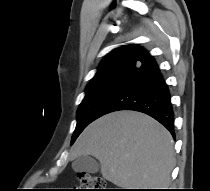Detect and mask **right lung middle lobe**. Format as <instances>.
<instances>
[{"mask_svg":"<svg viewBox=\"0 0 210 191\" xmlns=\"http://www.w3.org/2000/svg\"><path fill=\"white\" fill-rule=\"evenodd\" d=\"M130 56L113 58L98 68V72L86 87V95L77 111V125L72 136L71 144L75 142L84 128L95 120L99 105L107 97L128 62Z\"/></svg>","mask_w":210,"mask_h":191,"instance_id":"right-lung-middle-lobe-1","label":"right lung middle lobe"}]
</instances>
